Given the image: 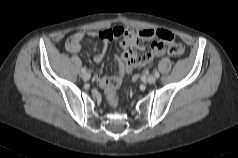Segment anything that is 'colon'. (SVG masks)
I'll return each mask as SVG.
<instances>
[{"mask_svg":"<svg viewBox=\"0 0 238 158\" xmlns=\"http://www.w3.org/2000/svg\"><path fill=\"white\" fill-rule=\"evenodd\" d=\"M99 36L103 40H111L114 37V34L110 30H103L99 32ZM76 40L70 37L67 40V45H74ZM168 53L174 57H181L185 54V48L182 43L177 41H170L167 46ZM120 83L116 80H111L109 90L107 91V96L111 104H116L118 100V88Z\"/></svg>","mask_w":238,"mask_h":158,"instance_id":"obj_1","label":"colon"}]
</instances>
